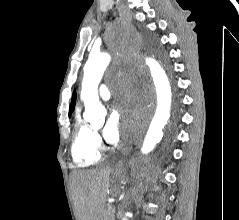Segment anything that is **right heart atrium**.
<instances>
[{
  "instance_id": "1",
  "label": "right heart atrium",
  "mask_w": 239,
  "mask_h": 220,
  "mask_svg": "<svg viewBox=\"0 0 239 220\" xmlns=\"http://www.w3.org/2000/svg\"><path fill=\"white\" fill-rule=\"evenodd\" d=\"M94 139H95V142L97 143V145H99L100 144V139H99V136H98V134H94Z\"/></svg>"
}]
</instances>
